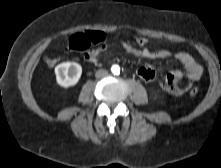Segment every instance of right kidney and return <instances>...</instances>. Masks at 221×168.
<instances>
[{"instance_id": "right-kidney-1", "label": "right kidney", "mask_w": 221, "mask_h": 168, "mask_svg": "<svg viewBox=\"0 0 221 168\" xmlns=\"http://www.w3.org/2000/svg\"><path fill=\"white\" fill-rule=\"evenodd\" d=\"M56 81L64 88L74 86L78 83L82 67L76 62H64L55 67Z\"/></svg>"}]
</instances>
